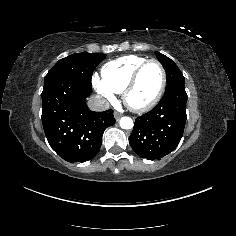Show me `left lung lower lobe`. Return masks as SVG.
Listing matches in <instances>:
<instances>
[{
    "label": "left lung lower lobe",
    "mask_w": 236,
    "mask_h": 236,
    "mask_svg": "<svg viewBox=\"0 0 236 236\" xmlns=\"http://www.w3.org/2000/svg\"><path fill=\"white\" fill-rule=\"evenodd\" d=\"M186 102L185 87H173L154 109L135 119L129 143L137 155L160 159L178 146L187 119Z\"/></svg>",
    "instance_id": "obj_1"
}]
</instances>
